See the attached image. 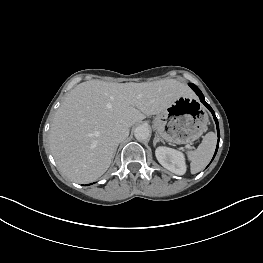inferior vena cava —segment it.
Returning <instances> with one entry per match:
<instances>
[{"label":"inferior vena cava","instance_id":"inferior-vena-cava-1","mask_svg":"<svg viewBox=\"0 0 263 263\" xmlns=\"http://www.w3.org/2000/svg\"><path fill=\"white\" fill-rule=\"evenodd\" d=\"M128 135L129 128L121 125L115 127L111 134L113 141L117 144L123 141L125 138H127Z\"/></svg>","mask_w":263,"mask_h":263}]
</instances>
